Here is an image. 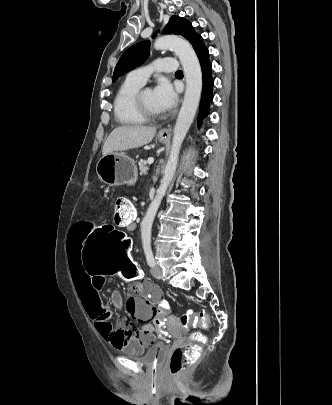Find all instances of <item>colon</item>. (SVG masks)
Listing matches in <instances>:
<instances>
[{
  "label": "colon",
  "mask_w": 332,
  "mask_h": 405,
  "mask_svg": "<svg viewBox=\"0 0 332 405\" xmlns=\"http://www.w3.org/2000/svg\"><path fill=\"white\" fill-rule=\"evenodd\" d=\"M117 221H129L135 216V208L128 196L120 195L116 198L114 208ZM105 220H86L87 237L84 242L82 261L89 275H116L117 281L138 282L144 276L141 267L129 255L130 240L128 234L116 230V227H106ZM150 288H159L151 285ZM158 300L159 310L151 318L155 325L154 332L159 342H170L167 319L172 317V304L168 299ZM208 314L201 310L195 313H185L179 318L182 329L187 330L191 325L200 324L208 327ZM157 338V335H156ZM204 335L194 332L190 335V342L176 347L170 358L169 371L173 376H179L191 366L199 356V344L204 342Z\"/></svg>",
  "instance_id": "5ec220e1"
}]
</instances>
